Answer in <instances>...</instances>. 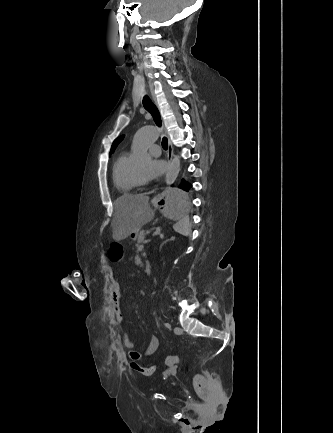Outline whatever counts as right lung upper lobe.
<instances>
[{
    "mask_svg": "<svg viewBox=\"0 0 333 433\" xmlns=\"http://www.w3.org/2000/svg\"><path fill=\"white\" fill-rule=\"evenodd\" d=\"M124 138V136L118 137L112 144L111 150H110V154H112L115 150V148L117 147V145L119 144L120 141H122V139Z\"/></svg>",
    "mask_w": 333,
    "mask_h": 433,
    "instance_id": "right-lung-upper-lobe-1",
    "label": "right lung upper lobe"
}]
</instances>
